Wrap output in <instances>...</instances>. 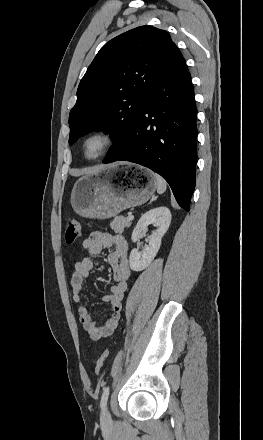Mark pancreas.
I'll return each instance as SVG.
<instances>
[{
    "mask_svg": "<svg viewBox=\"0 0 263 440\" xmlns=\"http://www.w3.org/2000/svg\"><path fill=\"white\" fill-rule=\"evenodd\" d=\"M131 223L127 219H125L123 216L116 217L113 219L110 223L111 229L115 233H123L124 228L130 227Z\"/></svg>",
    "mask_w": 263,
    "mask_h": 440,
    "instance_id": "pancreas-1",
    "label": "pancreas"
}]
</instances>
